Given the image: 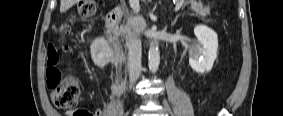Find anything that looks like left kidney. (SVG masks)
Listing matches in <instances>:
<instances>
[{
    "instance_id": "obj_1",
    "label": "left kidney",
    "mask_w": 283,
    "mask_h": 116,
    "mask_svg": "<svg viewBox=\"0 0 283 116\" xmlns=\"http://www.w3.org/2000/svg\"><path fill=\"white\" fill-rule=\"evenodd\" d=\"M194 34L198 39V45L188 48L189 64L197 73H208L217 57L218 36L214 30L205 25H197Z\"/></svg>"
}]
</instances>
